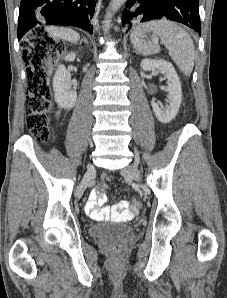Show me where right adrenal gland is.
<instances>
[{
  "label": "right adrenal gland",
  "instance_id": "1",
  "mask_svg": "<svg viewBox=\"0 0 227 298\" xmlns=\"http://www.w3.org/2000/svg\"><path fill=\"white\" fill-rule=\"evenodd\" d=\"M82 41H84L88 45V42L85 38H83Z\"/></svg>",
  "mask_w": 227,
  "mask_h": 298
}]
</instances>
